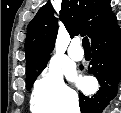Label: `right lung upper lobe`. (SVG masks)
Returning a JSON list of instances; mask_svg holds the SVG:
<instances>
[{
	"instance_id": "obj_1",
	"label": "right lung upper lobe",
	"mask_w": 121,
	"mask_h": 113,
	"mask_svg": "<svg viewBox=\"0 0 121 113\" xmlns=\"http://www.w3.org/2000/svg\"><path fill=\"white\" fill-rule=\"evenodd\" d=\"M60 20L71 37L88 35L91 41L116 25L110 0H62ZM58 32V20L50 3L42 6L27 28L26 71L50 58Z\"/></svg>"
}]
</instances>
